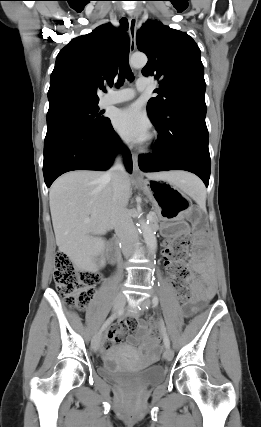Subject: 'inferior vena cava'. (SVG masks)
I'll return each mask as SVG.
<instances>
[{"mask_svg":"<svg viewBox=\"0 0 261 427\" xmlns=\"http://www.w3.org/2000/svg\"><path fill=\"white\" fill-rule=\"evenodd\" d=\"M106 176L110 178L113 188L110 222L120 239L122 252L128 258L134 253L138 232L126 208L129 200L128 175L120 156L115 159L113 166L106 173Z\"/></svg>","mask_w":261,"mask_h":427,"instance_id":"602c4592","label":"inferior vena cava"}]
</instances>
